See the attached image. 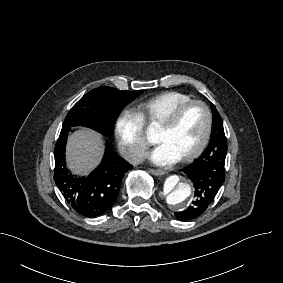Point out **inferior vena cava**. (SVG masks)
I'll list each match as a JSON object with an SVG mask.
<instances>
[{
    "label": "inferior vena cava",
    "mask_w": 283,
    "mask_h": 283,
    "mask_svg": "<svg viewBox=\"0 0 283 283\" xmlns=\"http://www.w3.org/2000/svg\"><path fill=\"white\" fill-rule=\"evenodd\" d=\"M147 151L138 146H130L128 148L126 159L132 165L140 164L146 157Z\"/></svg>",
    "instance_id": "inferior-vena-cava-1"
}]
</instances>
